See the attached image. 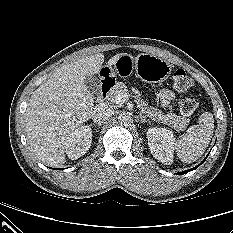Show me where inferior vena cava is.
<instances>
[{"mask_svg":"<svg viewBox=\"0 0 233 233\" xmlns=\"http://www.w3.org/2000/svg\"><path fill=\"white\" fill-rule=\"evenodd\" d=\"M112 115V108L106 103H101L94 108L91 117L94 123L101 124L110 119Z\"/></svg>","mask_w":233,"mask_h":233,"instance_id":"1","label":"inferior vena cava"}]
</instances>
